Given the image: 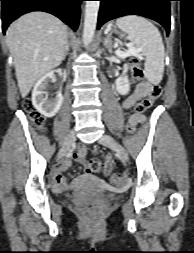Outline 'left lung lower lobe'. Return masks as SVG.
<instances>
[{
    "label": "left lung lower lobe",
    "instance_id": "1",
    "mask_svg": "<svg viewBox=\"0 0 194 253\" xmlns=\"http://www.w3.org/2000/svg\"><path fill=\"white\" fill-rule=\"evenodd\" d=\"M99 29L105 22L124 15L135 14L159 22L167 34L170 31V5L172 0H99Z\"/></svg>",
    "mask_w": 194,
    "mask_h": 253
}]
</instances>
